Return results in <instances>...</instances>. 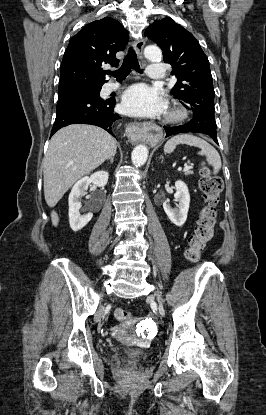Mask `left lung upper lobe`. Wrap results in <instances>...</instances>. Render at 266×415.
<instances>
[{"mask_svg": "<svg viewBox=\"0 0 266 415\" xmlns=\"http://www.w3.org/2000/svg\"><path fill=\"white\" fill-rule=\"evenodd\" d=\"M145 34L161 47L164 62L172 65L177 82L171 93L193 112L187 124L216 134L212 75L198 41L169 17L154 21Z\"/></svg>", "mask_w": 266, "mask_h": 415, "instance_id": "5c2ea615", "label": "left lung upper lobe"}]
</instances>
